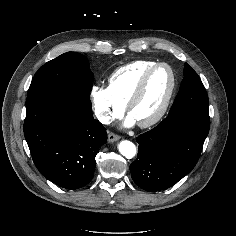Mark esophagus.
<instances>
[{"mask_svg":"<svg viewBox=\"0 0 236 236\" xmlns=\"http://www.w3.org/2000/svg\"><path fill=\"white\" fill-rule=\"evenodd\" d=\"M120 139V136L114 133H109L108 134V142H114Z\"/></svg>","mask_w":236,"mask_h":236,"instance_id":"1","label":"esophagus"}]
</instances>
